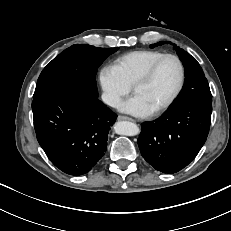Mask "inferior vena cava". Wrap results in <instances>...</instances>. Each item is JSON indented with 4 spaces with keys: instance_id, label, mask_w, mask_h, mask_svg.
<instances>
[{
    "instance_id": "1",
    "label": "inferior vena cava",
    "mask_w": 231,
    "mask_h": 231,
    "mask_svg": "<svg viewBox=\"0 0 231 231\" xmlns=\"http://www.w3.org/2000/svg\"><path fill=\"white\" fill-rule=\"evenodd\" d=\"M102 100L109 106L116 107L119 103V98L111 94H103Z\"/></svg>"
}]
</instances>
